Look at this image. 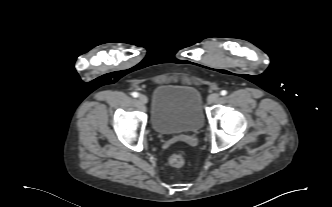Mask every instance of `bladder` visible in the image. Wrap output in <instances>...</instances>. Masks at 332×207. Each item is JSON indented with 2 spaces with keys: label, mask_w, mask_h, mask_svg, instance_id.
Masks as SVG:
<instances>
[{
  "label": "bladder",
  "mask_w": 332,
  "mask_h": 207,
  "mask_svg": "<svg viewBox=\"0 0 332 207\" xmlns=\"http://www.w3.org/2000/svg\"><path fill=\"white\" fill-rule=\"evenodd\" d=\"M203 123V102L198 89L174 84H161L155 88L151 124L158 134L194 133Z\"/></svg>",
  "instance_id": "31cf9c89"
}]
</instances>
